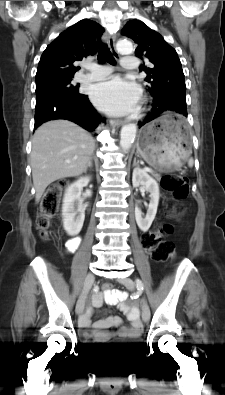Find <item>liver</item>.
Segmentation results:
<instances>
[{
	"label": "liver",
	"mask_w": 225,
	"mask_h": 395,
	"mask_svg": "<svg viewBox=\"0 0 225 395\" xmlns=\"http://www.w3.org/2000/svg\"><path fill=\"white\" fill-rule=\"evenodd\" d=\"M94 148L91 134L71 121L42 124L34 133L30 155L35 201L52 182L85 172Z\"/></svg>",
	"instance_id": "1"
}]
</instances>
